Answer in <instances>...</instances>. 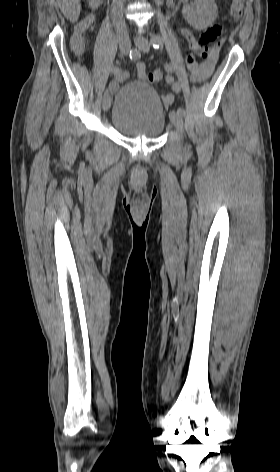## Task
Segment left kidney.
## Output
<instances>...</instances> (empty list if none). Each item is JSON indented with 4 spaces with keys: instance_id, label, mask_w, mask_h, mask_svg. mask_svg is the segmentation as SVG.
Masks as SVG:
<instances>
[{
    "instance_id": "5707ae66",
    "label": "left kidney",
    "mask_w": 280,
    "mask_h": 472,
    "mask_svg": "<svg viewBox=\"0 0 280 472\" xmlns=\"http://www.w3.org/2000/svg\"><path fill=\"white\" fill-rule=\"evenodd\" d=\"M217 11L214 0H194V3L183 7L182 13L194 29L203 30L215 21Z\"/></svg>"
}]
</instances>
